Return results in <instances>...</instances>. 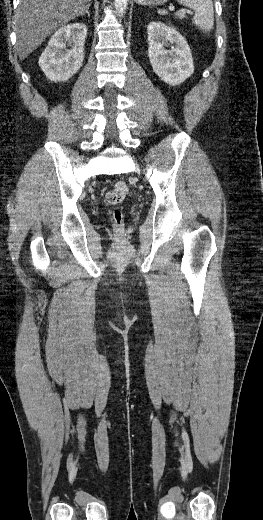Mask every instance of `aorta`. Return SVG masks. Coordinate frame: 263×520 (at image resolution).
Returning a JSON list of instances; mask_svg holds the SVG:
<instances>
[{"instance_id":"aorta-1","label":"aorta","mask_w":263,"mask_h":520,"mask_svg":"<svg viewBox=\"0 0 263 520\" xmlns=\"http://www.w3.org/2000/svg\"><path fill=\"white\" fill-rule=\"evenodd\" d=\"M129 0H114L115 10L118 16L123 17L126 13Z\"/></svg>"}]
</instances>
